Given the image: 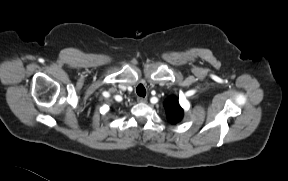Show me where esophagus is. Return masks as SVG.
Masks as SVG:
<instances>
[{"mask_svg": "<svg viewBox=\"0 0 288 181\" xmlns=\"http://www.w3.org/2000/svg\"><path fill=\"white\" fill-rule=\"evenodd\" d=\"M147 101V98H145V97H138L137 98V102H139V103H145Z\"/></svg>", "mask_w": 288, "mask_h": 181, "instance_id": "1", "label": "esophagus"}]
</instances>
